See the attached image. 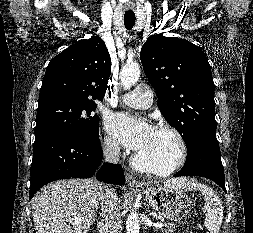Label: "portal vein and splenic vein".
<instances>
[{
    "mask_svg": "<svg viewBox=\"0 0 253 233\" xmlns=\"http://www.w3.org/2000/svg\"><path fill=\"white\" fill-rule=\"evenodd\" d=\"M153 226L156 227V228H162V227H164L165 225H164L163 223H158V222H157V223H154Z\"/></svg>",
    "mask_w": 253,
    "mask_h": 233,
    "instance_id": "portal-vein-and-splenic-vein-1",
    "label": "portal vein and splenic vein"
}]
</instances>
